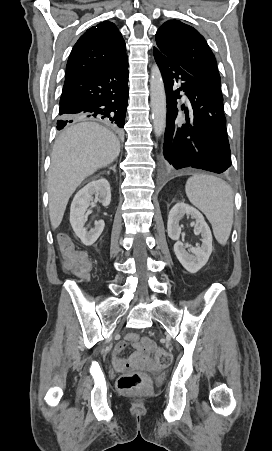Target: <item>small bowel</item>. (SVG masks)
Wrapping results in <instances>:
<instances>
[{"instance_id": "1", "label": "small bowel", "mask_w": 272, "mask_h": 451, "mask_svg": "<svg viewBox=\"0 0 272 451\" xmlns=\"http://www.w3.org/2000/svg\"><path fill=\"white\" fill-rule=\"evenodd\" d=\"M150 340L147 337H143L141 338L137 333L134 332H129L125 335L124 340L119 341L118 343H123L125 345V348H142L146 342ZM116 343L112 352H111V356L115 353L118 352L116 350V345L118 344Z\"/></svg>"}]
</instances>
